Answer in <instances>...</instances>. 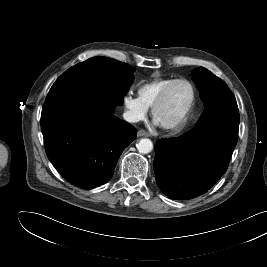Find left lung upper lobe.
Listing matches in <instances>:
<instances>
[{
	"label": "left lung upper lobe",
	"mask_w": 267,
	"mask_h": 267,
	"mask_svg": "<svg viewBox=\"0 0 267 267\" xmlns=\"http://www.w3.org/2000/svg\"><path fill=\"white\" fill-rule=\"evenodd\" d=\"M192 75L205 105V111L197 123L217 114L233 112L234 116L239 117L235 97L224 81L204 67L195 69Z\"/></svg>",
	"instance_id": "obj_1"
}]
</instances>
